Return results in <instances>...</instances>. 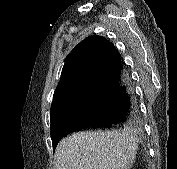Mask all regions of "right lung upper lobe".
<instances>
[{
  "instance_id": "cb5924a9",
  "label": "right lung upper lobe",
  "mask_w": 177,
  "mask_h": 169,
  "mask_svg": "<svg viewBox=\"0 0 177 169\" xmlns=\"http://www.w3.org/2000/svg\"><path fill=\"white\" fill-rule=\"evenodd\" d=\"M118 55L113 44L102 36L94 35L81 41L67 57L52 105L88 82Z\"/></svg>"
}]
</instances>
